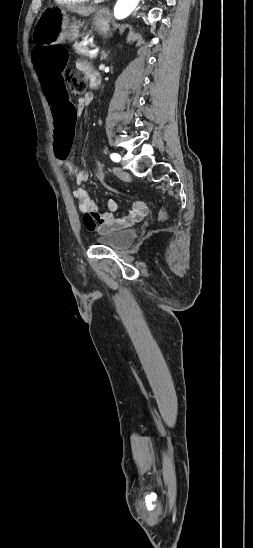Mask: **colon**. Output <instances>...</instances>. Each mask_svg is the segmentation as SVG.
Instances as JSON below:
<instances>
[{
  "label": "colon",
  "instance_id": "obj_1",
  "mask_svg": "<svg viewBox=\"0 0 253 548\" xmlns=\"http://www.w3.org/2000/svg\"><path fill=\"white\" fill-rule=\"evenodd\" d=\"M33 57L41 86L44 87L46 104L51 105V114L54 119L52 152L57 159H67L71 155L70 142L76 134L74 121L77 120L75 100L70 98L64 77L68 54L63 46L54 45L35 50ZM67 81L71 95L80 96L85 92L87 82L84 75L73 71L68 72ZM91 165L94 167L95 179L105 183V190H109L110 193L119 192V187L108 183L111 176L107 170L101 169L96 161ZM160 215L165 218V211L161 210Z\"/></svg>",
  "mask_w": 253,
  "mask_h": 548
}]
</instances>
